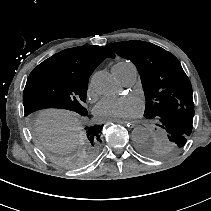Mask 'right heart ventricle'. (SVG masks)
<instances>
[{"instance_id": "e07e8e85", "label": "right heart ventricle", "mask_w": 211, "mask_h": 211, "mask_svg": "<svg viewBox=\"0 0 211 211\" xmlns=\"http://www.w3.org/2000/svg\"><path fill=\"white\" fill-rule=\"evenodd\" d=\"M135 67V65L130 60H119L114 65V74L119 78V76L130 68Z\"/></svg>"}]
</instances>
